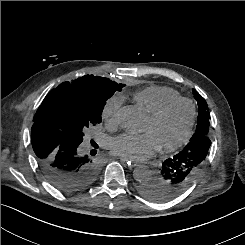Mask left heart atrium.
I'll list each match as a JSON object with an SVG mask.
<instances>
[{"label":"left heart atrium","mask_w":245,"mask_h":245,"mask_svg":"<svg viewBox=\"0 0 245 245\" xmlns=\"http://www.w3.org/2000/svg\"><path fill=\"white\" fill-rule=\"evenodd\" d=\"M112 148L123 158L142 161L152 156L158 146L150 134L144 133L141 135L122 134L113 140Z\"/></svg>","instance_id":"39dd6f15"}]
</instances>
